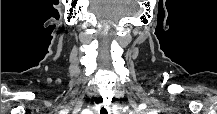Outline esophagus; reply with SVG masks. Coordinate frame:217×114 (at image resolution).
I'll use <instances>...</instances> for the list:
<instances>
[{
    "mask_svg": "<svg viewBox=\"0 0 217 114\" xmlns=\"http://www.w3.org/2000/svg\"><path fill=\"white\" fill-rule=\"evenodd\" d=\"M101 112H103V113L109 112V108H108V107L102 108V109H101Z\"/></svg>",
    "mask_w": 217,
    "mask_h": 114,
    "instance_id": "obj_1",
    "label": "esophagus"
}]
</instances>
